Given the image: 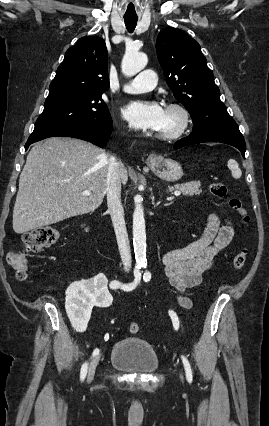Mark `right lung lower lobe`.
<instances>
[{"instance_id":"right-lung-lower-lobe-1","label":"right lung lower lobe","mask_w":269,"mask_h":426,"mask_svg":"<svg viewBox=\"0 0 269 426\" xmlns=\"http://www.w3.org/2000/svg\"><path fill=\"white\" fill-rule=\"evenodd\" d=\"M112 131V119L105 123L99 124H80L69 129H64L60 131H54L48 134H45L39 138L29 140L25 144V150L28 149L29 145L40 141L45 138L62 136V137H74L82 140L89 141L99 147H104L108 141V138Z\"/></svg>"}]
</instances>
